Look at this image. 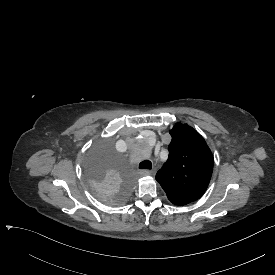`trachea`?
<instances>
[{
  "label": "trachea",
  "instance_id": "3493384b",
  "mask_svg": "<svg viewBox=\"0 0 275 275\" xmlns=\"http://www.w3.org/2000/svg\"><path fill=\"white\" fill-rule=\"evenodd\" d=\"M152 168V163L150 160H144L139 164V169H151Z\"/></svg>",
  "mask_w": 275,
  "mask_h": 275
}]
</instances>
